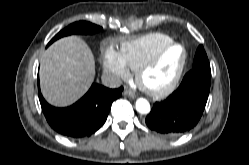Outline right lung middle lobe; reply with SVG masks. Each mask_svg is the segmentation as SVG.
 <instances>
[{
    "instance_id": "obj_1",
    "label": "right lung middle lobe",
    "mask_w": 249,
    "mask_h": 165,
    "mask_svg": "<svg viewBox=\"0 0 249 165\" xmlns=\"http://www.w3.org/2000/svg\"><path fill=\"white\" fill-rule=\"evenodd\" d=\"M101 30L102 28L100 26H97L90 22H86V21L75 22L69 25L68 27H66L65 29L61 30L57 35H55L48 45H50L52 42H54L55 40L63 36H67L71 34H93Z\"/></svg>"
}]
</instances>
